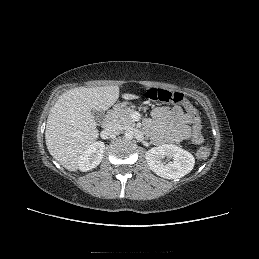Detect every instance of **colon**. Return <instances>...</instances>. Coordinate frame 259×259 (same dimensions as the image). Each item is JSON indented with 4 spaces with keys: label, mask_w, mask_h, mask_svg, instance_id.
<instances>
[{
    "label": "colon",
    "mask_w": 259,
    "mask_h": 259,
    "mask_svg": "<svg viewBox=\"0 0 259 259\" xmlns=\"http://www.w3.org/2000/svg\"><path fill=\"white\" fill-rule=\"evenodd\" d=\"M147 97L149 100L155 102L182 105L187 111H189L188 118L191 120L193 130L192 142H195V145L199 148L197 150V157L200 159L207 158L210 153V147L204 145V140L202 139L201 115L193 107L186 96L181 92L171 93L164 89L151 88L147 90Z\"/></svg>",
    "instance_id": "colon-1"
}]
</instances>
